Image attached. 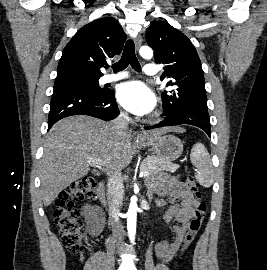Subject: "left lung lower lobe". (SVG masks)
I'll return each mask as SVG.
<instances>
[{
    "label": "left lung lower lobe",
    "instance_id": "0a47b994",
    "mask_svg": "<svg viewBox=\"0 0 267 270\" xmlns=\"http://www.w3.org/2000/svg\"><path fill=\"white\" fill-rule=\"evenodd\" d=\"M166 116L163 121L152 126H145V129H154L180 124L197 126L204 130L210 137V119L207 110L199 108H185L174 112H164Z\"/></svg>",
    "mask_w": 267,
    "mask_h": 270
}]
</instances>
